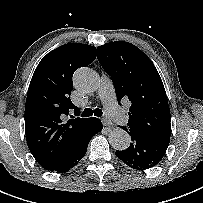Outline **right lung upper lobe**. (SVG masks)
<instances>
[{"label": "right lung upper lobe", "instance_id": "cb5924a9", "mask_svg": "<svg viewBox=\"0 0 203 203\" xmlns=\"http://www.w3.org/2000/svg\"><path fill=\"white\" fill-rule=\"evenodd\" d=\"M96 58V48L82 43L64 44L48 53L38 64L25 105V134L31 154L46 170L57 171L95 118L65 115L79 108L70 100L72 76L79 67Z\"/></svg>", "mask_w": 203, "mask_h": 203}]
</instances>
